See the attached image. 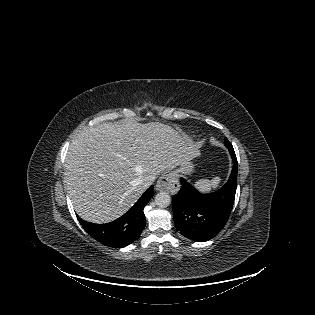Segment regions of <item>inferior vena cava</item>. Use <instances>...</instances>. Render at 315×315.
Returning a JSON list of instances; mask_svg holds the SVG:
<instances>
[{"label": "inferior vena cava", "mask_w": 315, "mask_h": 315, "mask_svg": "<svg viewBox=\"0 0 315 315\" xmlns=\"http://www.w3.org/2000/svg\"><path fill=\"white\" fill-rule=\"evenodd\" d=\"M153 183V179H147L142 183V187L143 189H147L148 187H150Z\"/></svg>", "instance_id": "602c4592"}]
</instances>
